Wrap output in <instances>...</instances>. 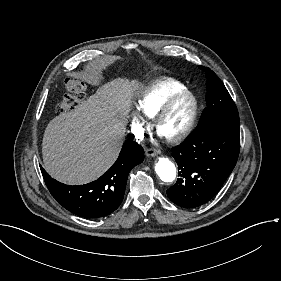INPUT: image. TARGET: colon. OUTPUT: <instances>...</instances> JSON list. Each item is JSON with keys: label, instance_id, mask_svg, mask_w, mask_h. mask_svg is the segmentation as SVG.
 Returning <instances> with one entry per match:
<instances>
[{"label": "colon", "instance_id": "obj_1", "mask_svg": "<svg viewBox=\"0 0 281 281\" xmlns=\"http://www.w3.org/2000/svg\"><path fill=\"white\" fill-rule=\"evenodd\" d=\"M65 90L66 94L57 106V109L61 114H67L74 111L85 99V87L78 79L66 77Z\"/></svg>", "mask_w": 281, "mask_h": 281}]
</instances>
